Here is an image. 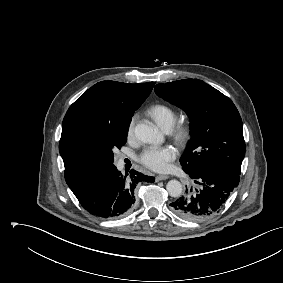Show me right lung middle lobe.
<instances>
[{
  "mask_svg": "<svg viewBox=\"0 0 283 283\" xmlns=\"http://www.w3.org/2000/svg\"><path fill=\"white\" fill-rule=\"evenodd\" d=\"M131 120L104 125L79 138L81 147L96 156L105 169L113 165V149L121 148L127 138Z\"/></svg>",
  "mask_w": 283,
  "mask_h": 283,
  "instance_id": "obj_1",
  "label": "right lung middle lobe"
}]
</instances>
